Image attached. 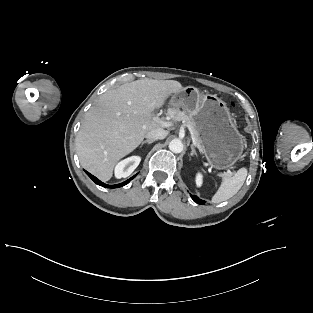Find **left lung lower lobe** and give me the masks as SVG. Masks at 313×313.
Listing matches in <instances>:
<instances>
[{
	"label": "left lung lower lobe",
	"mask_w": 313,
	"mask_h": 313,
	"mask_svg": "<svg viewBox=\"0 0 313 313\" xmlns=\"http://www.w3.org/2000/svg\"><path fill=\"white\" fill-rule=\"evenodd\" d=\"M191 197L198 204H202L203 205L205 203V201L200 200L199 198H197V196H194V195L192 196L191 195Z\"/></svg>",
	"instance_id": "obj_1"
}]
</instances>
